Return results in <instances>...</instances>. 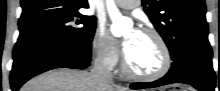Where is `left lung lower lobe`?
Wrapping results in <instances>:
<instances>
[{
	"mask_svg": "<svg viewBox=\"0 0 220 91\" xmlns=\"http://www.w3.org/2000/svg\"><path fill=\"white\" fill-rule=\"evenodd\" d=\"M210 46L186 48L173 60L169 72L159 80L145 83H132V89L154 88L172 83H184L199 91H214L215 73L212 67ZM220 88V71H219Z\"/></svg>",
	"mask_w": 220,
	"mask_h": 91,
	"instance_id": "1",
	"label": "left lung lower lobe"
}]
</instances>
